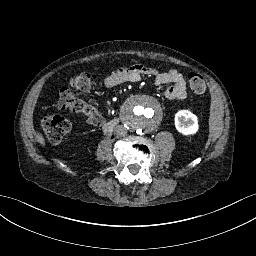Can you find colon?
I'll use <instances>...</instances> for the list:
<instances>
[{
	"instance_id": "colon-1",
	"label": "colon",
	"mask_w": 256,
	"mask_h": 256,
	"mask_svg": "<svg viewBox=\"0 0 256 256\" xmlns=\"http://www.w3.org/2000/svg\"><path fill=\"white\" fill-rule=\"evenodd\" d=\"M95 73H82L74 76L70 80V87L59 91L57 107L61 110H69L82 115L89 124L100 126L102 119L95 111L93 105L77 95L75 92H85L91 90L95 85ZM187 81L193 93L201 95L205 93V81L201 74L190 72ZM42 127L49 142L53 144L61 143L70 131L71 123L64 118L47 114L42 120Z\"/></svg>"
}]
</instances>
